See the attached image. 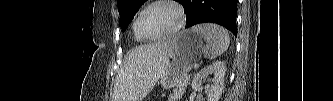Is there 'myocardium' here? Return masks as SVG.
<instances>
[{
	"instance_id": "f54148a6",
	"label": "myocardium",
	"mask_w": 333,
	"mask_h": 101,
	"mask_svg": "<svg viewBox=\"0 0 333 101\" xmlns=\"http://www.w3.org/2000/svg\"><path fill=\"white\" fill-rule=\"evenodd\" d=\"M156 5H167V6L174 8L178 14V23L171 31H169L165 34H162V35H159L156 37H148L142 32V30L140 28V19H141V16L144 14V12H146L148 9H150L151 7L156 6ZM185 20H186L185 11L179 3H177L176 1H172V0H159V1L151 2L147 6H145L143 9H141L135 18L134 24H135L136 33L138 34V36L140 38H142L143 40H148V41H156V40H161V39L171 37V36L175 35L176 33H178L184 26Z\"/></svg>"
}]
</instances>
